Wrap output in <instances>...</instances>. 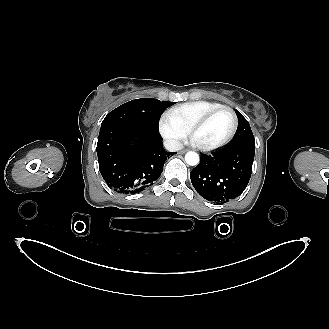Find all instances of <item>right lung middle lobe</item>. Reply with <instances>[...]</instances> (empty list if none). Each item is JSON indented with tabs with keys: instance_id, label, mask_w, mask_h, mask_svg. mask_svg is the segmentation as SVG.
Listing matches in <instances>:
<instances>
[{
	"instance_id": "dd1d6c3e",
	"label": "right lung middle lobe",
	"mask_w": 329,
	"mask_h": 329,
	"mask_svg": "<svg viewBox=\"0 0 329 329\" xmlns=\"http://www.w3.org/2000/svg\"><path fill=\"white\" fill-rule=\"evenodd\" d=\"M174 103L161 102L153 98L135 99L111 111L104 118L101 127L109 124H122L158 130L162 112Z\"/></svg>"
}]
</instances>
